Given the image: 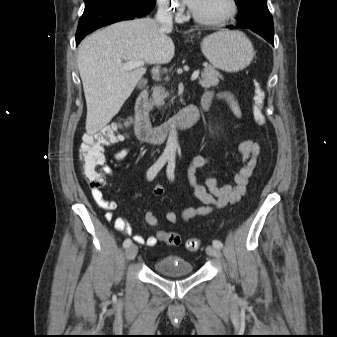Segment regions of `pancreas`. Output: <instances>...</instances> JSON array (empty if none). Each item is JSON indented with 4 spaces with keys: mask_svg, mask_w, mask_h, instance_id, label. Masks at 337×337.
<instances>
[{
    "mask_svg": "<svg viewBox=\"0 0 337 337\" xmlns=\"http://www.w3.org/2000/svg\"><path fill=\"white\" fill-rule=\"evenodd\" d=\"M202 79L199 84L204 88L208 89L218 85L219 79H223L222 75L213 66L205 64L204 70L201 74ZM168 93H165L163 89H158L154 95V101L157 106L164 104V98H166Z\"/></svg>",
    "mask_w": 337,
    "mask_h": 337,
    "instance_id": "obj_1",
    "label": "pancreas"
}]
</instances>
